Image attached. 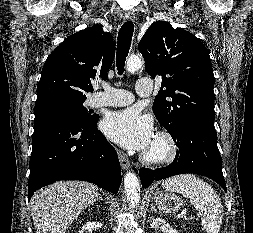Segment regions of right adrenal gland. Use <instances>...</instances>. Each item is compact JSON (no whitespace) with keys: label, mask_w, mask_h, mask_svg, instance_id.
Here are the masks:
<instances>
[{"label":"right adrenal gland","mask_w":253,"mask_h":233,"mask_svg":"<svg viewBox=\"0 0 253 233\" xmlns=\"http://www.w3.org/2000/svg\"><path fill=\"white\" fill-rule=\"evenodd\" d=\"M96 200L102 201V197L101 196H97V198L94 200V202H92L91 204L95 203Z\"/></svg>","instance_id":"1"}]
</instances>
